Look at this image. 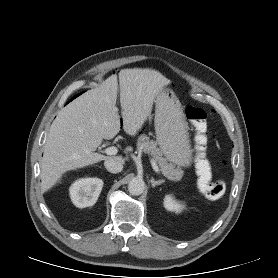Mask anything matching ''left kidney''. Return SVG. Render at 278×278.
<instances>
[{"label": "left kidney", "instance_id": "1", "mask_svg": "<svg viewBox=\"0 0 278 278\" xmlns=\"http://www.w3.org/2000/svg\"><path fill=\"white\" fill-rule=\"evenodd\" d=\"M164 207L168 211H172L175 213H181L184 209L185 206L178 202L177 200L174 199L172 195H166L164 198Z\"/></svg>", "mask_w": 278, "mask_h": 278}]
</instances>
